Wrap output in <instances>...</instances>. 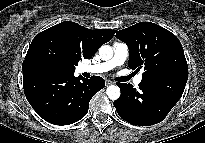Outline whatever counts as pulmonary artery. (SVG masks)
Instances as JSON below:
<instances>
[{
  "mask_svg": "<svg viewBox=\"0 0 205 143\" xmlns=\"http://www.w3.org/2000/svg\"><path fill=\"white\" fill-rule=\"evenodd\" d=\"M128 57V46L123 42H115L113 44V56L110 60L93 65H81L79 71L81 73L99 74L112 70L115 67L121 66ZM142 81V76L137 75L133 82L139 85Z\"/></svg>",
  "mask_w": 205,
  "mask_h": 143,
  "instance_id": "1",
  "label": "pulmonary artery"
}]
</instances>
